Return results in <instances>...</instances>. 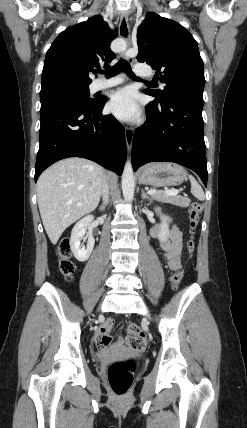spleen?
I'll list each match as a JSON object with an SVG mask.
<instances>
[{"mask_svg": "<svg viewBox=\"0 0 247 428\" xmlns=\"http://www.w3.org/2000/svg\"><path fill=\"white\" fill-rule=\"evenodd\" d=\"M191 182V193L200 201L205 199L203 189L193 176H189Z\"/></svg>", "mask_w": 247, "mask_h": 428, "instance_id": "3e777b00", "label": "spleen"}]
</instances>
